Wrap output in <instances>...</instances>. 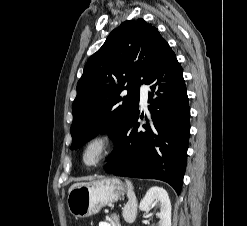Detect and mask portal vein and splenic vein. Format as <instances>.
Listing matches in <instances>:
<instances>
[{
	"label": "portal vein and splenic vein",
	"instance_id": "1",
	"mask_svg": "<svg viewBox=\"0 0 247 226\" xmlns=\"http://www.w3.org/2000/svg\"><path fill=\"white\" fill-rule=\"evenodd\" d=\"M104 226H109V224H104Z\"/></svg>",
	"mask_w": 247,
	"mask_h": 226
}]
</instances>
